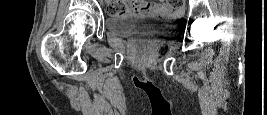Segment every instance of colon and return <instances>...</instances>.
I'll use <instances>...</instances> for the list:
<instances>
[{"instance_id": "1", "label": "colon", "mask_w": 267, "mask_h": 115, "mask_svg": "<svg viewBox=\"0 0 267 115\" xmlns=\"http://www.w3.org/2000/svg\"><path fill=\"white\" fill-rule=\"evenodd\" d=\"M169 5L180 8L184 4V0H169ZM107 12L110 16L122 15L129 12V7L123 3H112L108 6Z\"/></svg>"}]
</instances>
